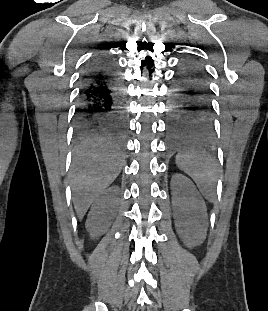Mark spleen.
Masks as SVG:
<instances>
[{"label": "spleen", "mask_w": 268, "mask_h": 311, "mask_svg": "<svg viewBox=\"0 0 268 311\" xmlns=\"http://www.w3.org/2000/svg\"><path fill=\"white\" fill-rule=\"evenodd\" d=\"M176 164L194 180L202 195L213 201L216 167L211 157L201 151H184L176 156Z\"/></svg>", "instance_id": "spleen-1"}]
</instances>
